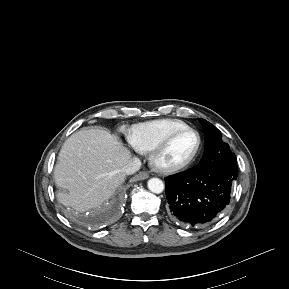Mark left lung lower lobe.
I'll list each match as a JSON object with an SVG mask.
<instances>
[{
    "mask_svg": "<svg viewBox=\"0 0 289 289\" xmlns=\"http://www.w3.org/2000/svg\"><path fill=\"white\" fill-rule=\"evenodd\" d=\"M236 165L195 166L165 178L170 216L198 227L216 221L227 208L237 178Z\"/></svg>",
    "mask_w": 289,
    "mask_h": 289,
    "instance_id": "0a47b994",
    "label": "left lung lower lobe"
}]
</instances>
